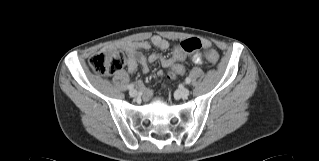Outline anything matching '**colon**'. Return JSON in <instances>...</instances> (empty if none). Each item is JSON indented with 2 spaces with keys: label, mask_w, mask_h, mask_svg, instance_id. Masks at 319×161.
<instances>
[{
  "label": "colon",
  "mask_w": 319,
  "mask_h": 161,
  "mask_svg": "<svg viewBox=\"0 0 319 161\" xmlns=\"http://www.w3.org/2000/svg\"><path fill=\"white\" fill-rule=\"evenodd\" d=\"M201 48V42L197 38H188L181 41L176 45L173 60L176 63H180L185 59L187 54L198 51ZM207 59L211 63H217L219 61V54L215 50H208L206 53ZM126 56L121 51L97 53L93 55L89 64L93 71L99 75H112L118 71H121L126 63ZM171 79L175 78L174 72H170Z\"/></svg>",
  "instance_id": "5ec220e1"
}]
</instances>
